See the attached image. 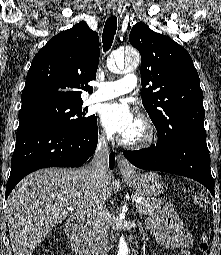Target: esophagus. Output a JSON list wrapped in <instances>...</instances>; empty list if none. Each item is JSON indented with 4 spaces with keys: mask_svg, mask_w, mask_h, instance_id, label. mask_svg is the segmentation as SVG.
Listing matches in <instances>:
<instances>
[{
    "mask_svg": "<svg viewBox=\"0 0 221 255\" xmlns=\"http://www.w3.org/2000/svg\"><path fill=\"white\" fill-rule=\"evenodd\" d=\"M110 14H115L116 9L115 8H110L108 10ZM117 164L118 168L121 172H131L134 170L133 166L123 157L122 154H118L117 156Z\"/></svg>",
    "mask_w": 221,
    "mask_h": 255,
    "instance_id": "34e87169",
    "label": "esophagus"
}]
</instances>
